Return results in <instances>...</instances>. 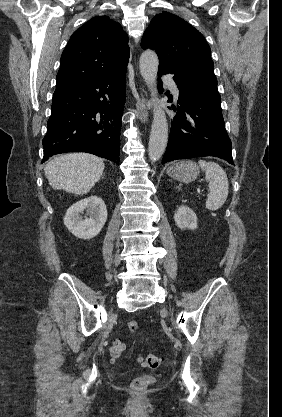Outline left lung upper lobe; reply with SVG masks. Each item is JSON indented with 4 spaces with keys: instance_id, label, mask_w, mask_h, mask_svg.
I'll use <instances>...</instances> for the list:
<instances>
[{
    "instance_id": "obj_1",
    "label": "left lung upper lobe",
    "mask_w": 282,
    "mask_h": 417,
    "mask_svg": "<svg viewBox=\"0 0 282 417\" xmlns=\"http://www.w3.org/2000/svg\"><path fill=\"white\" fill-rule=\"evenodd\" d=\"M141 47L151 48L159 57V70L214 74L211 49L192 25L169 12L156 15L146 29Z\"/></svg>"
}]
</instances>
